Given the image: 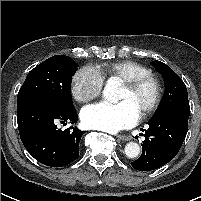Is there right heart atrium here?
<instances>
[{"label": "right heart atrium", "mask_w": 201, "mask_h": 201, "mask_svg": "<svg viewBox=\"0 0 201 201\" xmlns=\"http://www.w3.org/2000/svg\"><path fill=\"white\" fill-rule=\"evenodd\" d=\"M103 83L104 79L99 70L84 66L72 78V96L80 103H87L101 94Z\"/></svg>", "instance_id": "right-heart-atrium-1"}]
</instances>
